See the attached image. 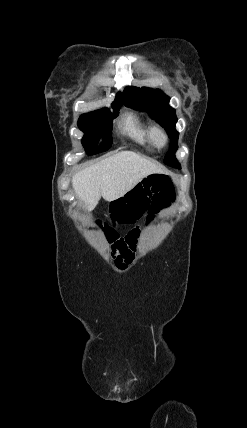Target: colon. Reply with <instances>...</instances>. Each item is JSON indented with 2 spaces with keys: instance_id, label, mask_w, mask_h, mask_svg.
Returning a JSON list of instances; mask_svg holds the SVG:
<instances>
[{
  "instance_id": "5ec220e1",
  "label": "colon",
  "mask_w": 247,
  "mask_h": 428,
  "mask_svg": "<svg viewBox=\"0 0 247 428\" xmlns=\"http://www.w3.org/2000/svg\"><path fill=\"white\" fill-rule=\"evenodd\" d=\"M174 198L171 180L164 175H151L135 186L127 195L117 194L105 205V213L96 212L94 220L101 218L106 222V245L112 246V253L126 254L133 250L137 239V230H132L125 238H118V232H127L131 226H137L143 217H157L159 210L168 206ZM112 239H115L114 241Z\"/></svg>"
}]
</instances>
